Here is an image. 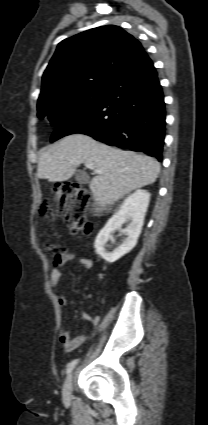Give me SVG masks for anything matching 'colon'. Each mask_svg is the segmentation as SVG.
Masks as SVG:
<instances>
[{
	"mask_svg": "<svg viewBox=\"0 0 208 425\" xmlns=\"http://www.w3.org/2000/svg\"><path fill=\"white\" fill-rule=\"evenodd\" d=\"M53 201L41 206V213L46 217H54L60 208L65 209L66 223L73 234H89L91 225L86 220L85 210L89 200V193L79 184L63 182L52 188ZM47 253L57 260L61 249L53 244L45 246Z\"/></svg>",
	"mask_w": 208,
	"mask_h": 425,
	"instance_id": "1",
	"label": "colon"
}]
</instances>
